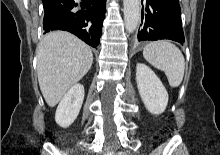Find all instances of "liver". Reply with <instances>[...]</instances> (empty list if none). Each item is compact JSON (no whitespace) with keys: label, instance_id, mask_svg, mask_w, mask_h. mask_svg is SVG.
Here are the masks:
<instances>
[{"label":"liver","instance_id":"liver-1","mask_svg":"<svg viewBox=\"0 0 220 155\" xmlns=\"http://www.w3.org/2000/svg\"><path fill=\"white\" fill-rule=\"evenodd\" d=\"M91 48L76 36L63 31L46 34L37 49L40 90L50 107L80 81L92 66Z\"/></svg>","mask_w":220,"mask_h":155}]
</instances>
